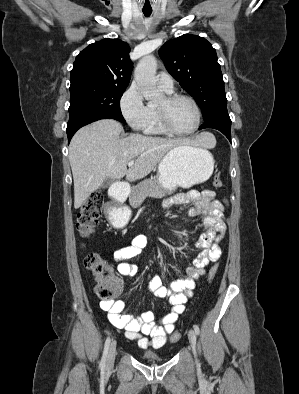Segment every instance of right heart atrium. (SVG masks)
<instances>
[{"instance_id":"obj_1","label":"right heart atrium","mask_w":299,"mask_h":394,"mask_svg":"<svg viewBox=\"0 0 299 394\" xmlns=\"http://www.w3.org/2000/svg\"><path fill=\"white\" fill-rule=\"evenodd\" d=\"M121 112L134 130H144L149 118L150 108L136 85H131L123 94L120 102Z\"/></svg>"}]
</instances>
